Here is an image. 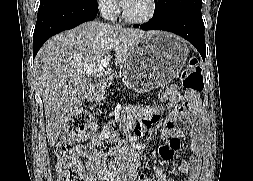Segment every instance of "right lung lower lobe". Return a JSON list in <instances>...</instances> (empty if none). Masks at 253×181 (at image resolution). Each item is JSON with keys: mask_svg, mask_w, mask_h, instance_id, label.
Listing matches in <instances>:
<instances>
[{"mask_svg": "<svg viewBox=\"0 0 253 181\" xmlns=\"http://www.w3.org/2000/svg\"><path fill=\"white\" fill-rule=\"evenodd\" d=\"M97 12L98 8H92L84 3H75L38 13L33 34V58L51 36L72 29L83 22L93 20Z\"/></svg>", "mask_w": 253, "mask_h": 181, "instance_id": "1", "label": "right lung lower lobe"}]
</instances>
